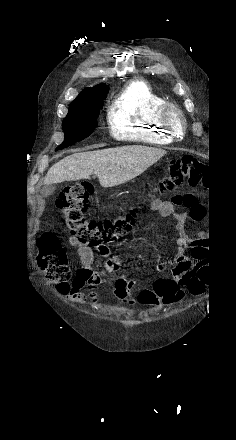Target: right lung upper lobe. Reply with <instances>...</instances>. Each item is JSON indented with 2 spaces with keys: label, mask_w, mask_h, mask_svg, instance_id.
<instances>
[{
  "label": "right lung upper lobe",
  "mask_w": 236,
  "mask_h": 440,
  "mask_svg": "<svg viewBox=\"0 0 236 440\" xmlns=\"http://www.w3.org/2000/svg\"><path fill=\"white\" fill-rule=\"evenodd\" d=\"M108 88L105 86V84L95 86L93 88H87L83 90L73 102L86 100L90 98H98L102 97L105 94H107Z\"/></svg>",
  "instance_id": "cb5924a9"
}]
</instances>
